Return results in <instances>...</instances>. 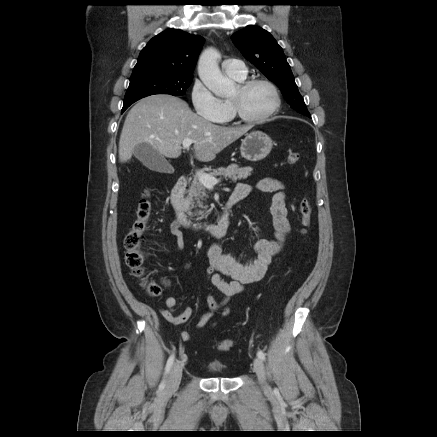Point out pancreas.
Listing matches in <instances>:
<instances>
[{"instance_id": "1", "label": "pancreas", "mask_w": 437, "mask_h": 437, "mask_svg": "<svg viewBox=\"0 0 437 437\" xmlns=\"http://www.w3.org/2000/svg\"><path fill=\"white\" fill-rule=\"evenodd\" d=\"M252 168L251 167H239L237 164H231L229 166L220 167L217 169H213L212 172L209 173L210 176H223L224 178H229L233 182L237 180L246 179L251 175ZM188 195L186 197V202L189 205V210H192L196 207H199L200 210H196L194 213L197 216L196 220H202L207 218L210 210H208V206L206 205V198L208 197L206 193V188L203 184H201L197 177H195L191 183L187 191ZM189 214L193 216V213L189 211Z\"/></svg>"}]
</instances>
